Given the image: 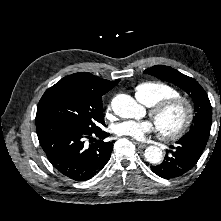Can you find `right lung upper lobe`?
<instances>
[{"label": "right lung upper lobe", "instance_id": "cb5924a9", "mask_svg": "<svg viewBox=\"0 0 221 221\" xmlns=\"http://www.w3.org/2000/svg\"><path fill=\"white\" fill-rule=\"evenodd\" d=\"M118 82L119 80L109 81L87 72H80L62 78L45 93L61 88H73L102 96L115 87Z\"/></svg>", "mask_w": 221, "mask_h": 221}]
</instances>
